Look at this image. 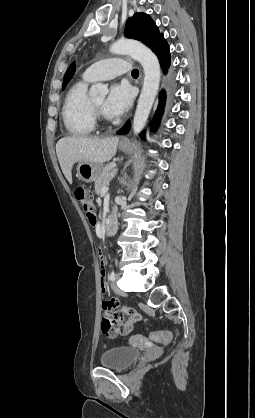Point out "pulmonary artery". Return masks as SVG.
Here are the masks:
<instances>
[{"label": "pulmonary artery", "mask_w": 255, "mask_h": 418, "mask_svg": "<svg viewBox=\"0 0 255 418\" xmlns=\"http://www.w3.org/2000/svg\"><path fill=\"white\" fill-rule=\"evenodd\" d=\"M130 68V63L123 58L104 59L89 66L83 76L91 82L109 80L129 71Z\"/></svg>", "instance_id": "e3ab8cb5"}]
</instances>
